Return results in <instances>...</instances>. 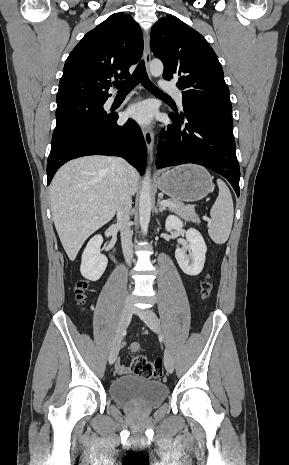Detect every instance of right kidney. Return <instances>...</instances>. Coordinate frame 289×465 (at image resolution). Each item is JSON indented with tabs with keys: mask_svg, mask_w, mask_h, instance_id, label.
<instances>
[{
	"mask_svg": "<svg viewBox=\"0 0 289 465\" xmlns=\"http://www.w3.org/2000/svg\"><path fill=\"white\" fill-rule=\"evenodd\" d=\"M102 243V236L95 235L89 240L82 254L80 272L84 278L90 281L99 280L108 264L107 257L100 252Z\"/></svg>",
	"mask_w": 289,
	"mask_h": 465,
	"instance_id": "obj_1",
	"label": "right kidney"
}]
</instances>
